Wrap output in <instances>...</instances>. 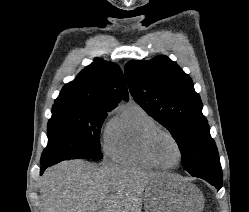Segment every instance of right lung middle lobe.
<instances>
[{"mask_svg":"<svg viewBox=\"0 0 249 212\" xmlns=\"http://www.w3.org/2000/svg\"><path fill=\"white\" fill-rule=\"evenodd\" d=\"M110 108L77 102H57L48 122V145L41 163L84 158L100 160V128Z\"/></svg>","mask_w":249,"mask_h":212,"instance_id":"1","label":"right lung middle lobe"}]
</instances>
